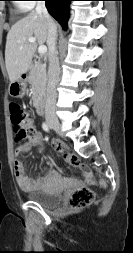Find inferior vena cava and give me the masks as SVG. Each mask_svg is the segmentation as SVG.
Instances as JSON below:
<instances>
[{
    "label": "inferior vena cava",
    "mask_w": 133,
    "mask_h": 253,
    "mask_svg": "<svg viewBox=\"0 0 133 253\" xmlns=\"http://www.w3.org/2000/svg\"><path fill=\"white\" fill-rule=\"evenodd\" d=\"M35 12L37 14H42L46 18L48 25L47 44L49 47V68L46 89L45 116L46 119H56V86L60 75L59 59L56 50L57 27L46 9L45 1L37 2Z\"/></svg>",
    "instance_id": "602c4592"
}]
</instances>
